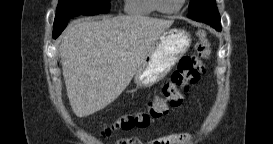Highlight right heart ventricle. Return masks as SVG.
Listing matches in <instances>:
<instances>
[{"label": "right heart ventricle", "mask_w": 273, "mask_h": 144, "mask_svg": "<svg viewBox=\"0 0 273 144\" xmlns=\"http://www.w3.org/2000/svg\"><path fill=\"white\" fill-rule=\"evenodd\" d=\"M125 11L133 16H150L154 13L152 0H128L125 5Z\"/></svg>", "instance_id": "right-heart-ventricle-1"}]
</instances>
